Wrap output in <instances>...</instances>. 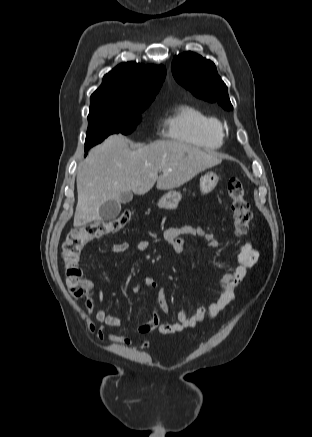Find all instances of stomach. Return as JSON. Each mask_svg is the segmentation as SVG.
<instances>
[{
	"mask_svg": "<svg viewBox=\"0 0 312 437\" xmlns=\"http://www.w3.org/2000/svg\"><path fill=\"white\" fill-rule=\"evenodd\" d=\"M218 179L217 174L212 171L203 175L200 179V190L202 194L210 193L217 185ZM181 198L182 195L180 192L171 190L159 199L157 205L161 209L174 210L178 207Z\"/></svg>",
	"mask_w": 312,
	"mask_h": 437,
	"instance_id": "stomach-1",
	"label": "stomach"
}]
</instances>
